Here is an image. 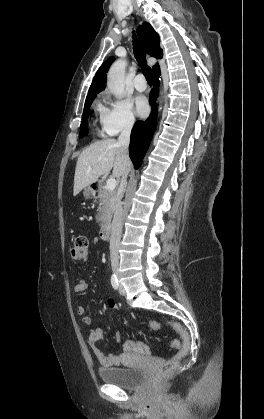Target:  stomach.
<instances>
[{
  "instance_id": "obj_1",
  "label": "stomach",
  "mask_w": 264,
  "mask_h": 419,
  "mask_svg": "<svg viewBox=\"0 0 264 419\" xmlns=\"http://www.w3.org/2000/svg\"><path fill=\"white\" fill-rule=\"evenodd\" d=\"M83 195L86 199H89L96 195V191L92 188V186H88L85 188Z\"/></svg>"
}]
</instances>
